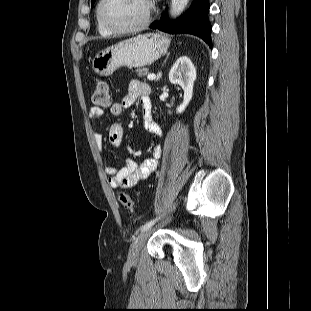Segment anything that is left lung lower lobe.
Here are the masks:
<instances>
[{
  "mask_svg": "<svg viewBox=\"0 0 311 311\" xmlns=\"http://www.w3.org/2000/svg\"><path fill=\"white\" fill-rule=\"evenodd\" d=\"M208 0H193L189 10L178 20L168 21L166 14H162L159 21L153 22L151 28L171 34H192L203 39L210 47L211 24L208 20Z\"/></svg>",
  "mask_w": 311,
  "mask_h": 311,
  "instance_id": "obj_1",
  "label": "left lung lower lobe"
}]
</instances>
